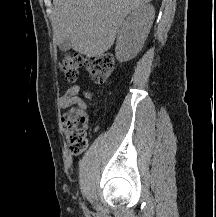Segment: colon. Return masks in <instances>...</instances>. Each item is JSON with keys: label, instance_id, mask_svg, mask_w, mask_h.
I'll list each match as a JSON object with an SVG mask.
<instances>
[{"label": "colon", "instance_id": "colon-1", "mask_svg": "<svg viewBox=\"0 0 216 217\" xmlns=\"http://www.w3.org/2000/svg\"><path fill=\"white\" fill-rule=\"evenodd\" d=\"M88 67L91 79L96 84L104 83L112 74L114 60L110 55H100L87 61L80 53H69L60 60L59 67L68 82H75L82 67ZM88 113L80 108L72 109L63 122L62 129L67 137L70 152L82 153L87 146Z\"/></svg>", "mask_w": 216, "mask_h": 217}]
</instances>
